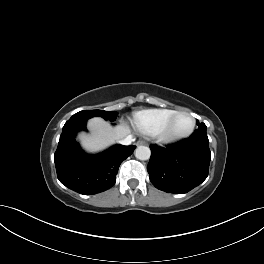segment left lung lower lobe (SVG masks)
I'll list each match as a JSON object with an SVG mask.
<instances>
[{"label":"left lung lower lobe","instance_id":"1","mask_svg":"<svg viewBox=\"0 0 264 264\" xmlns=\"http://www.w3.org/2000/svg\"><path fill=\"white\" fill-rule=\"evenodd\" d=\"M147 166L151 183L167 193H187L208 176L211 159L206 129L198 128L188 139L160 147L150 146Z\"/></svg>","mask_w":264,"mask_h":264}]
</instances>
